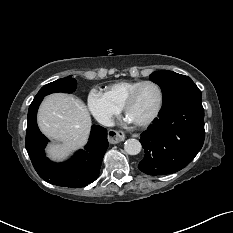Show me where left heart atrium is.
<instances>
[{
    "mask_svg": "<svg viewBox=\"0 0 233 233\" xmlns=\"http://www.w3.org/2000/svg\"><path fill=\"white\" fill-rule=\"evenodd\" d=\"M127 120H128L129 122H131V121H132L129 117L127 118Z\"/></svg>",
    "mask_w": 233,
    "mask_h": 233,
    "instance_id": "1",
    "label": "left heart atrium"
}]
</instances>
